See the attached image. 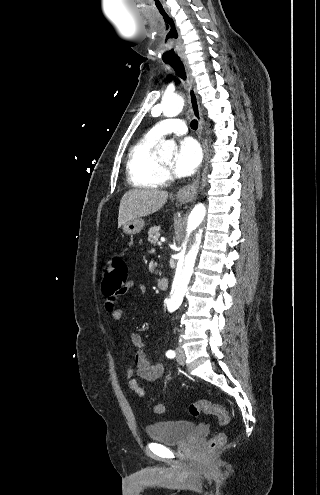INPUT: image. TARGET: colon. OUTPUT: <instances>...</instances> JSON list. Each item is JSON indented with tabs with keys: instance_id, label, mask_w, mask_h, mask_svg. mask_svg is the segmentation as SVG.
Listing matches in <instances>:
<instances>
[{
	"instance_id": "1",
	"label": "colon",
	"mask_w": 320,
	"mask_h": 495,
	"mask_svg": "<svg viewBox=\"0 0 320 495\" xmlns=\"http://www.w3.org/2000/svg\"><path fill=\"white\" fill-rule=\"evenodd\" d=\"M128 270L127 266L120 257L110 258L104 268V279L102 288L104 293L109 294L112 292H122L123 286L127 280ZM165 407L162 403H155L153 405V411L156 414H162ZM189 413L193 417L200 415H213L216 416L220 425L224 426L229 422V415L226 409L220 404L213 403L208 399H199L191 403L189 407ZM226 440V436L223 432L215 434L208 441L209 451H215L220 448Z\"/></svg>"
}]
</instances>
